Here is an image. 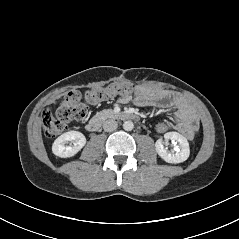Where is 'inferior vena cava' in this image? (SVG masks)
<instances>
[{"label":"inferior vena cava","mask_w":239,"mask_h":239,"mask_svg":"<svg viewBox=\"0 0 239 239\" xmlns=\"http://www.w3.org/2000/svg\"><path fill=\"white\" fill-rule=\"evenodd\" d=\"M117 127H118V124L113 119H108V120L103 122V129L106 132H112V131L116 130Z\"/></svg>","instance_id":"obj_1"}]
</instances>
